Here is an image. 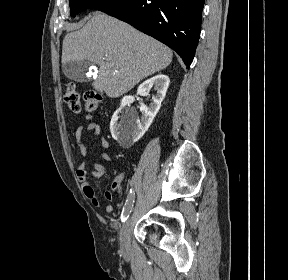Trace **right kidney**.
I'll return each instance as SVG.
<instances>
[{"instance_id":"1","label":"right kidney","mask_w":288,"mask_h":280,"mask_svg":"<svg viewBox=\"0 0 288 280\" xmlns=\"http://www.w3.org/2000/svg\"><path fill=\"white\" fill-rule=\"evenodd\" d=\"M169 83L170 80L168 76L159 74L147 79L138 87L137 95L148 93L152 87H154L156 91L149 107L144 104L141 105V119L136 118L131 112H123L125 107H130L135 101L134 96L129 95L122 99L120 108L113 115L110 123L112 137L122 147L128 148L132 146L148 130L161 107V102L165 98Z\"/></svg>"}]
</instances>
